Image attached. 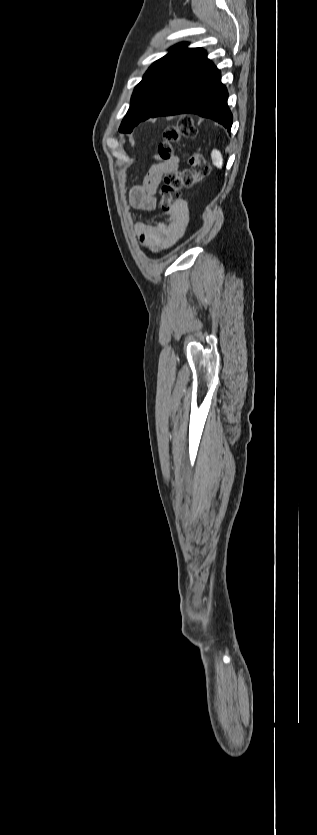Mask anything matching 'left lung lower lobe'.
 <instances>
[{
    "mask_svg": "<svg viewBox=\"0 0 317 835\" xmlns=\"http://www.w3.org/2000/svg\"><path fill=\"white\" fill-rule=\"evenodd\" d=\"M220 71L203 51L181 75L167 99L151 117L195 114L231 130L233 116Z\"/></svg>",
    "mask_w": 317,
    "mask_h": 835,
    "instance_id": "1",
    "label": "left lung lower lobe"
}]
</instances>
